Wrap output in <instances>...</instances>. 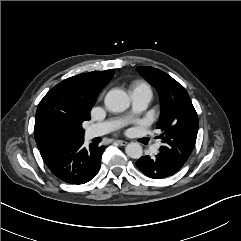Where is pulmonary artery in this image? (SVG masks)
<instances>
[{"instance_id":"e3ab8cb5","label":"pulmonary artery","mask_w":241,"mask_h":241,"mask_svg":"<svg viewBox=\"0 0 241 241\" xmlns=\"http://www.w3.org/2000/svg\"><path fill=\"white\" fill-rule=\"evenodd\" d=\"M131 97H132L133 106L130 114L116 120H110V121H105V122L91 125L86 129L85 137L90 139L97 136H101L116 129L117 127L123 124L130 122L139 113H141L143 110L146 109V107L148 106L152 98V93H151V90L148 88H137L132 90ZM156 150L157 149L154 148V151Z\"/></svg>"}]
</instances>
